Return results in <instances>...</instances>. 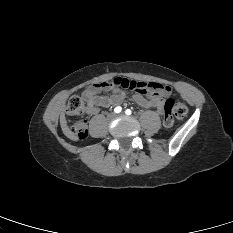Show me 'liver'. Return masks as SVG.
Segmentation results:
<instances>
[{"mask_svg": "<svg viewBox=\"0 0 233 233\" xmlns=\"http://www.w3.org/2000/svg\"><path fill=\"white\" fill-rule=\"evenodd\" d=\"M64 108H65V102H62L60 106V126L62 131L66 134L68 132V126L65 118V113H64Z\"/></svg>", "mask_w": 233, "mask_h": 233, "instance_id": "obj_1", "label": "liver"}]
</instances>
